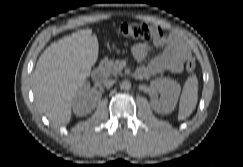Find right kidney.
I'll return each mask as SVG.
<instances>
[{
    "instance_id": "1",
    "label": "right kidney",
    "mask_w": 243,
    "mask_h": 167,
    "mask_svg": "<svg viewBox=\"0 0 243 167\" xmlns=\"http://www.w3.org/2000/svg\"><path fill=\"white\" fill-rule=\"evenodd\" d=\"M101 99L96 91L90 89L89 83H85L72 100L73 111L78 116L90 113Z\"/></svg>"
}]
</instances>
